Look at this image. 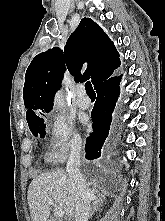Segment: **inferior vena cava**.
<instances>
[{
    "label": "inferior vena cava",
    "instance_id": "obj_1",
    "mask_svg": "<svg viewBox=\"0 0 165 221\" xmlns=\"http://www.w3.org/2000/svg\"><path fill=\"white\" fill-rule=\"evenodd\" d=\"M81 150V142L72 146L66 170L76 194L75 221H88L91 210L90 203L94 195L79 170Z\"/></svg>",
    "mask_w": 165,
    "mask_h": 221
}]
</instances>
